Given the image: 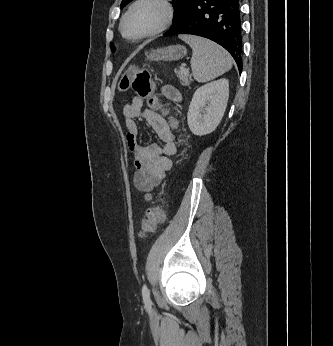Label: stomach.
Returning a JSON list of instances; mask_svg holds the SVG:
<instances>
[{"label": "stomach", "mask_w": 333, "mask_h": 346, "mask_svg": "<svg viewBox=\"0 0 333 346\" xmlns=\"http://www.w3.org/2000/svg\"><path fill=\"white\" fill-rule=\"evenodd\" d=\"M186 48L179 45L168 46L163 49L152 50L147 58L152 61H175L186 55Z\"/></svg>", "instance_id": "0dacf381"}]
</instances>
